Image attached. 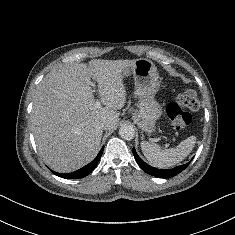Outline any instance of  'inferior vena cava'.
Segmentation results:
<instances>
[{"instance_id":"inferior-vena-cava-1","label":"inferior vena cava","mask_w":235,"mask_h":235,"mask_svg":"<svg viewBox=\"0 0 235 235\" xmlns=\"http://www.w3.org/2000/svg\"><path fill=\"white\" fill-rule=\"evenodd\" d=\"M101 128L104 129V130L107 129V128H108L107 123H102V124H101Z\"/></svg>"}]
</instances>
